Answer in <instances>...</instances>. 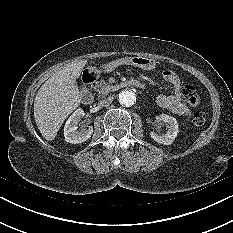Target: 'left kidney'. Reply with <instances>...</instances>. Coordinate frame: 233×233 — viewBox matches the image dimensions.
Returning <instances> with one entry per match:
<instances>
[{
  "instance_id": "5707ae66",
  "label": "left kidney",
  "mask_w": 233,
  "mask_h": 233,
  "mask_svg": "<svg viewBox=\"0 0 233 233\" xmlns=\"http://www.w3.org/2000/svg\"><path fill=\"white\" fill-rule=\"evenodd\" d=\"M157 122L167 123L168 131L166 134H157L155 132H151V138H153L156 142L164 145H170L175 140L178 134V122L174 117H171L166 114H162L157 118Z\"/></svg>"
}]
</instances>
